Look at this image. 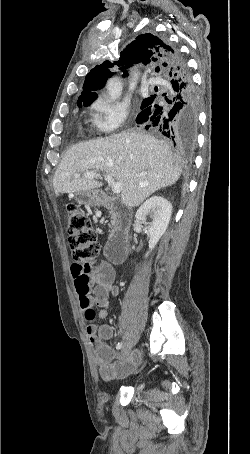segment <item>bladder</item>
Instances as JSON below:
<instances>
[{"label": "bladder", "instance_id": "bladder-1", "mask_svg": "<svg viewBox=\"0 0 250 454\" xmlns=\"http://www.w3.org/2000/svg\"><path fill=\"white\" fill-rule=\"evenodd\" d=\"M142 383H143V380L142 379H138L136 380L134 383H133V387L134 388H139L142 386Z\"/></svg>", "mask_w": 250, "mask_h": 454}]
</instances>
